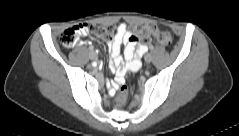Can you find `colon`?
<instances>
[{
	"mask_svg": "<svg viewBox=\"0 0 239 136\" xmlns=\"http://www.w3.org/2000/svg\"><path fill=\"white\" fill-rule=\"evenodd\" d=\"M116 28L113 24H78L66 29L60 36V42L65 47H73L77 44L82 35L91 34L99 38L110 39L115 34ZM136 41L150 42L156 41L168 48H174V40L170 33L161 31L154 26L144 25L136 27L133 33ZM127 99V87L121 81L119 83L118 94L115 98V104L121 106Z\"/></svg>",
	"mask_w": 239,
	"mask_h": 136,
	"instance_id": "5ec220e1",
	"label": "colon"
}]
</instances>
